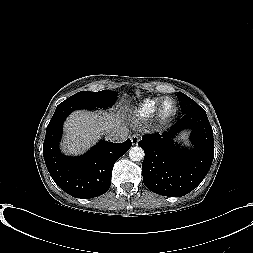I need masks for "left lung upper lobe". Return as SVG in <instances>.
Wrapping results in <instances>:
<instances>
[{
    "instance_id": "5c2ea615",
    "label": "left lung upper lobe",
    "mask_w": 253,
    "mask_h": 253,
    "mask_svg": "<svg viewBox=\"0 0 253 253\" xmlns=\"http://www.w3.org/2000/svg\"><path fill=\"white\" fill-rule=\"evenodd\" d=\"M177 98L183 114L204 111L194 100L183 93H178Z\"/></svg>"
}]
</instances>
